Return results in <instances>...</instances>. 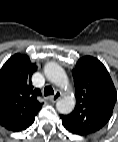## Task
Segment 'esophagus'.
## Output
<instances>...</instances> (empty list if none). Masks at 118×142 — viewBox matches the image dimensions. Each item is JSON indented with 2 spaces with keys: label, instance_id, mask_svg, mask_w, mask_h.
I'll list each match as a JSON object with an SVG mask.
<instances>
[{
  "label": "esophagus",
  "instance_id": "esophagus-1",
  "mask_svg": "<svg viewBox=\"0 0 118 142\" xmlns=\"http://www.w3.org/2000/svg\"><path fill=\"white\" fill-rule=\"evenodd\" d=\"M61 96H62V93L57 91L53 96H51L49 98V100L54 103V102L58 101Z\"/></svg>",
  "mask_w": 118,
  "mask_h": 142
}]
</instances>
